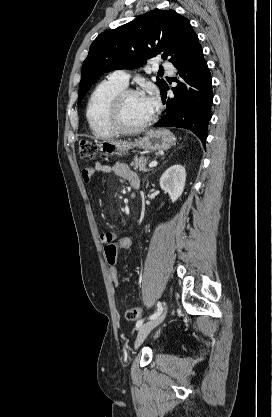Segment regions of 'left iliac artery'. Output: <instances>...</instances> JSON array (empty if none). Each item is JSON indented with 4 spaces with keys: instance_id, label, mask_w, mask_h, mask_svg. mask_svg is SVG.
<instances>
[{
    "instance_id": "1",
    "label": "left iliac artery",
    "mask_w": 272,
    "mask_h": 417,
    "mask_svg": "<svg viewBox=\"0 0 272 417\" xmlns=\"http://www.w3.org/2000/svg\"><path fill=\"white\" fill-rule=\"evenodd\" d=\"M161 311H162V303L158 301V303H157V310H156V312H155L154 314H152L151 316H149V318H148V319H150V320H151V319L156 318L157 316H159V315H160ZM144 320H145V319H140V320H138V321H137V323H136V328H137V329H138V328H139V327L143 324Z\"/></svg>"
}]
</instances>
